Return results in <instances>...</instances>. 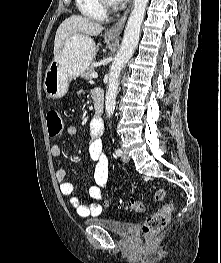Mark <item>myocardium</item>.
I'll use <instances>...</instances> for the list:
<instances>
[{
	"label": "myocardium",
	"instance_id": "f54148a6",
	"mask_svg": "<svg viewBox=\"0 0 221 263\" xmlns=\"http://www.w3.org/2000/svg\"><path fill=\"white\" fill-rule=\"evenodd\" d=\"M99 2L105 9H110L114 6L112 0H99Z\"/></svg>",
	"mask_w": 221,
	"mask_h": 263
}]
</instances>
